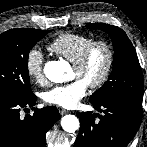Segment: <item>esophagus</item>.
<instances>
[{"label":"esophagus","mask_w":147,"mask_h":147,"mask_svg":"<svg viewBox=\"0 0 147 147\" xmlns=\"http://www.w3.org/2000/svg\"><path fill=\"white\" fill-rule=\"evenodd\" d=\"M59 112H60V115H65L66 113H68V111L65 109H60Z\"/></svg>","instance_id":"34e87169"}]
</instances>
